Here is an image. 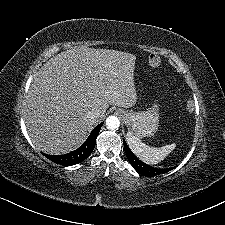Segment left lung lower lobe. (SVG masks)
I'll return each mask as SVG.
<instances>
[{
    "mask_svg": "<svg viewBox=\"0 0 225 225\" xmlns=\"http://www.w3.org/2000/svg\"><path fill=\"white\" fill-rule=\"evenodd\" d=\"M124 143V149L127 156V159L129 160L132 167L141 175L145 176H154L159 174H164L168 171H170L173 168H166V169H159L151 167L145 163H143L141 160H139L130 150L127 143L123 141Z\"/></svg>",
    "mask_w": 225,
    "mask_h": 225,
    "instance_id": "obj_1",
    "label": "left lung lower lobe"
}]
</instances>
